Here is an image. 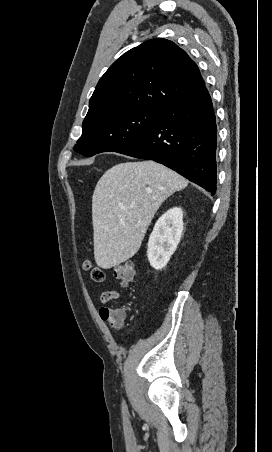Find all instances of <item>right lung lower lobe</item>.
Segmentation results:
<instances>
[{"label":"right lung lower lobe","mask_w":272,"mask_h":452,"mask_svg":"<svg viewBox=\"0 0 272 452\" xmlns=\"http://www.w3.org/2000/svg\"><path fill=\"white\" fill-rule=\"evenodd\" d=\"M216 147V117L204 85L117 152L162 163L214 195Z\"/></svg>","instance_id":"1"}]
</instances>
